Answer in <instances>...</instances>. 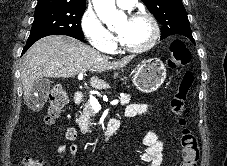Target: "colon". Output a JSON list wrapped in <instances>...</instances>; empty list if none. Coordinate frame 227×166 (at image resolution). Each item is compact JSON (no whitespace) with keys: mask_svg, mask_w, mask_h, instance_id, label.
<instances>
[{"mask_svg":"<svg viewBox=\"0 0 227 166\" xmlns=\"http://www.w3.org/2000/svg\"><path fill=\"white\" fill-rule=\"evenodd\" d=\"M170 53L169 66L171 68L185 66L189 63L191 58L190 50L187 48L186 44L179 39L173 40L170 44ZM193 81V74L189 71L185 72L170 100L171 111L182 128L180 134L181 161L178 166H197L199 159L196 137L187 128L185 119L186 99ZM67 103V92L60 86H54L49 94L48 113L45 119L46 124H53ZM23 164L24 166H43V162L40 159L30 156L24 159Z\"/></svg>","mask_w":227,"mask_h":166,"instance_id":"obj_1","label":"colon"}]
</instances>
